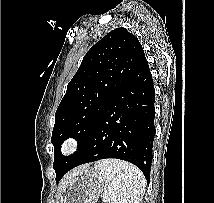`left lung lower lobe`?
Wrapping results in <instances>:
<instances>
[{
    "label": "left lung lower lobe",
    "mask_w": 214,
    "mask_h": 203,
    "mask_svg": "<svg viewBox=\"0 0 214 203\" xmlns=\"http://www.w3.org/2000/svg\"><path fill=\"white\" fill-rule=\"evenodd\" d=\"M155 90L144 56L98 117L66 173L81 164L117 158L136 165L149 182L155 135Z\"/></svg>",
    "instance_id": "left-lung-lower-lobe-1"
}]
</instances>
